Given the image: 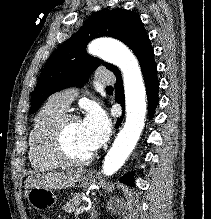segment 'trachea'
<instances>
[{
  "label": "trachea",
  "instance_id": "3493384b",
  "mask_svg": "<svg viewBox=\"0 0 211 219\" xmlns=\"http://www.w3.org/2000/svg\"><path fill=\"white\" fill-rule=\"evenodd\" d=\"M106 89H113V87L112 86H107Z\"/></svg>",
  "mask_w": 211,
  "mask_h": 219
}]
</instances>
